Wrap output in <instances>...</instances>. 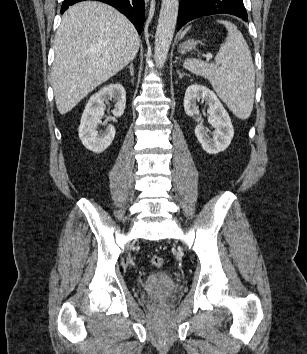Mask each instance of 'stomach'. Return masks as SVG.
I'll return each mask as SVG.
<instances>
[{
	"label": "stomach",
	"mask_w": 307,
	"mask_h": 354,
	"mask_svg": "<svg viewBox=\"0 0 307 354\" xmlns=\"http://www.w3.org/2000/svg\"><path fill=\"white\" fill-rule=\"evenodd\" d=\"M197 42L194 40H188L186 42H184L181 46H180V52L181 53H186L187 51H190L192 49L195 48Z\"/></svg>",
	"instance_id": "0dacf381"
}]
</instances>
